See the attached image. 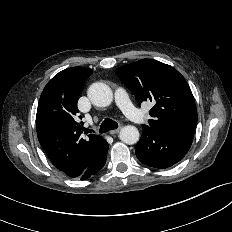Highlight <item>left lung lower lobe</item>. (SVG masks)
I'll return each instance as SVG.
<instances>
[{
	"instance_id": "obj_1",
	"label": "left lung lower lobe",
	"mask_w": 232,
	"mask_h": 232,
	"mask_svg": "<svg viewBox=\"0 0 232 232\" xmlns=\"http://www.w3.org/2000/svg\"><path fill=\"white\" fill-rule=\"evenodd\" d=\"M141 139L136 145L138 160L150 167L165 169L178 163L188 152L194 132L179 129H153L142 126Z\"/></svg>"
}]
</instances>
